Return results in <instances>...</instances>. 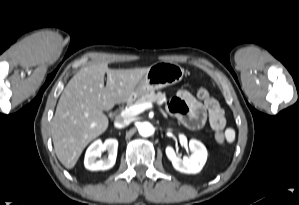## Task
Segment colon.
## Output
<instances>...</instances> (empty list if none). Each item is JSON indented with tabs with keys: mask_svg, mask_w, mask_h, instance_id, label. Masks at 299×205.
I'll list each match as a JSON object with an SVG mask.
<instances>
[{
	"mask_svg": "<svg viewBox=\"0 0 299 205\" xmlns=\"http://www.w3.org/2000/svg\"><path fill=\"white\" fill-rule=\"evenodd\" d=\"M197 96L200 99H206L209 97V93L205 88H200L197 92ZM215 140L220 144L224 143L226 140L224 133L222 131H217L215 133Z\"/></svg>",
	"mask_w": 299,
	"mask_h": 205,
	"instance_id": "obj_1",
	"label": "colon"
}]
</instances>
